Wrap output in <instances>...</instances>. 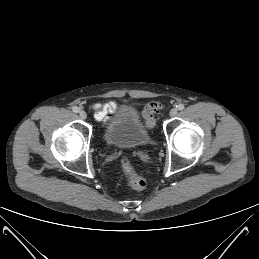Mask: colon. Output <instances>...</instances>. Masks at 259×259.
I'll return each mask as SVG.
<instances>
[{"instance_id": "1", "label": "colon", "mask_w": 259, "mask_h": 259, "mask_svg": "<svg viewBox=\"0 0 259 259\" xmlns=\"http://www.w3.org/2000/svg\"><path fill=\"white\" fill-rule=\"evenodd\" d=\"M164 108V104L159 101L149 102L143 110L144 124L147 128H152L155 125V116ZM121 168L125 175L127 184L135 189L142 190L146 186V182L133 168L130 159L127 156H122L120 159Z\"/></svg>"}]
</instances>
